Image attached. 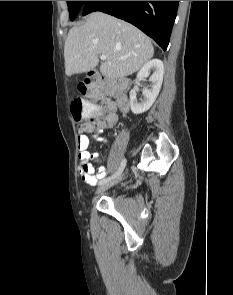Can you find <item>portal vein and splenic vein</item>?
Wrapping results in <instances>:
<instances>
[{
  "mask_svg": "<svg viewBox=\"0 0 233 295\" xmlns=\"http://www.w3.org/2000/svg\"><path fill=\"white\" fill-rule=\"evenodd\" d=\"M100 59L104 61V60L107 59V57H106L105 55H101V56H100Z\"/></svg>",
  "mask_w": 233,
  "mask_h": 295,
  "instance_id": "18ae733b",
  "label": "portal vein and splenic vein"
}]
</instances>
